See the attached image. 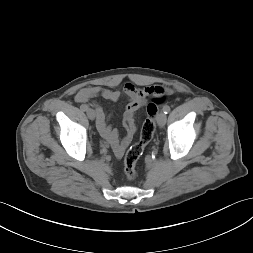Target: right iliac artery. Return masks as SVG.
<instances>
[{
  "label": "right iliac artery",
  "mask_w": 253,
  "mask_h": 253,
  "mask_svg": "<svg viewBox=\"0 0 253 253\" xmlns=\"http://www.w3.org/2000/svg\"><path fill=\"white\" fill-rule=\"evenodd\" d=\"M81 109L83 110V111H86V110H88V106L87 105H81Z\"/></svg>",
  "instance_id": "1"
}]
</instances>
